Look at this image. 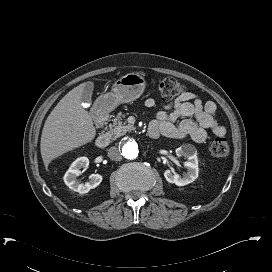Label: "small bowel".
<instances>
[{
    "mask_svg": "<svg viewBox=\"0 0 272 272\" xmlns=\"http://www.w3.org/2000/svg\"><path fill=\"white\" fill-rule=\"evenodd\" d=\"M144 105L146 108H153L155 101L147 99ZM162 107L164 110L156 113L151 125H156L163 136L175 139L190 137L197 143H203L207 139V129L218 137L226 134L225 127L215 117V103H203L194 93H183L175 101L164 103ZM166 111L172 112L168 114ZM177 117L183 119L175 125L174 120Z\"/></svg>",
    "mask_w": 272,
    "mask_h": 272,
    "instance_id": "obj_1",
    "label": "small bowel"
}]
</instances>
